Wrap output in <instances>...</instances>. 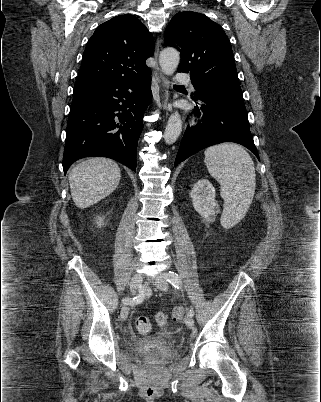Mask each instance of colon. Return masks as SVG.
<instances>
[{
  "label": "colon",
  "instance_id": "1",
  "mask_svg": "<svg viewBox=\"0 0 321 402\" xmlns=\"http://www.w3.org/2000/svg\"><path fill=\"white\" fill-rule=\"evenodd\" d=\"M184 314V309L182 307H176L173 309L171 317L173 320H179ZM158 320L162 322H167V316L165 314H159ZM135 327L140 333H148L151 330V322L147 317L140 316L135 320Z\"/></svg>",
  "mask_w": 321,
  "mask_h": 402
}]
</instances>
